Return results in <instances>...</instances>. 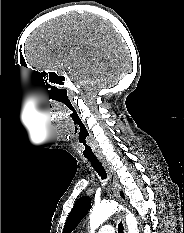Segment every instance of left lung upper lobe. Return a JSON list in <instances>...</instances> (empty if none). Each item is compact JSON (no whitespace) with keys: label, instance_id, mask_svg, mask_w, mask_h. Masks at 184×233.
Returning <instances> with one entry per match:
<instances>
[{"label":"left lung upper lobe","instance_id":"obj_1","mask_svg":"<svg viewBox=\"0 0 184 233\" xmlns=\"http://www.w3.org/2000/svg\"><path fill=\"white\" fill-rule=\"evenodd\" d=\"M122 198H125L123 193L121 192ZM91 201L87 196H83L79 198L71 210L68 218L66 220L63 233H71L79 222L86 216L88 210L90 209Z\"/></svg>","mask_w":184,"mask_h":233}]
</instances>
